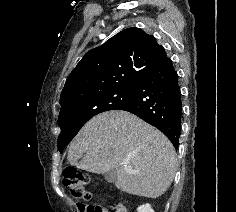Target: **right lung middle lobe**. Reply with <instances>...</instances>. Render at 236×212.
Masks as SVG:
<instances>
[{
	"label": "right lung middle lobe",
	"mask_w": 236,
	"mask_h": 212,
	"mask_svg": "<svg viewBox=\"0 0 236 212\" xmlns=\"http://www.w3.org/2000/svg\"><path fill=\"white\" fill-rule=\"evenodd\" d=\"M137 86L121 87L93 94L61 107L58 125V149L62 153L81 127L93 116L115 110L126 103L135 93Z\"/></svg>",
	"instance_id": "obj_1"
}]
</instances>
